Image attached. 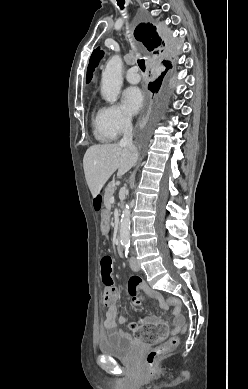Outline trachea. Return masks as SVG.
<instances>
[{
  "label": "trachea",
  "mask_w": 248,
  "mask_h": 389,
  "mask_svg": "<svg viewBox=\"0 0 248 389\" xmlns=\"http://www.w3.org/2000/svg\"><path fill=\"white\" fill-rule=\"evenodd\" d=\"M117 4L118 6L123 9L124 8V0H117ZM138 65L140 67V69L145 72V69H146V66H145V60L143 59H139L138 60Z\"/></svg>",
  "instance_id": "1"
}]
</instances>
